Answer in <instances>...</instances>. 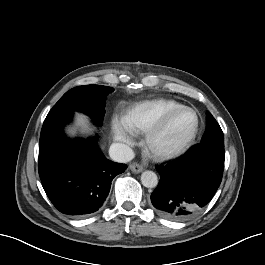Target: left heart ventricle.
I'll return each mask as SVG.
<instances>
[{
  "label": "left heart ventricle",
  "instance_id": "1",
  "mask_svg": "<svg viewBox=\"0 0 265 265\" xmlns=\"http://www.w3.org/2000/svg\"><path fill=\"white\" fill-rule=\"evenodd\" d=\"M195 125V116L190 111H183L175 115L168 122L159 138L161 146L175 145L185 140Z\"/></svg>",
  "mask_w": 265,
  "mask_h": 265
}]
</instances>
